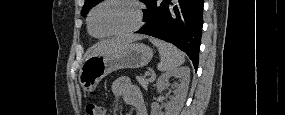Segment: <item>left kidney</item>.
Instances as JSON below:
<instances>
[{
	"instance_id": "left-kidney-1",
	"label": "left kidney",
	"mask_w": 285,
	"mask_h": 115,
	"mask_svg": "<svg viewBox=\"0 0 285 115\" xmlns=\"http://www.w3.org/2000/svg\"><path fill=\"white\" fill-rule=\"evenodd\" d=\"M171 77L179 78L180 84H177V89L174 91V97L165 107V113H159V104L153 102L151 105V115H178L184 105L190 82V69L186 66L176 68L172 71L162 74L157 80V90L162 91L169 86Z\"/></svg>"
}]
</instances>
